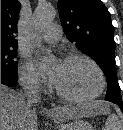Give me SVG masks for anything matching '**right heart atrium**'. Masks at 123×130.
Listing matches in <instances>:
<instances>
[{
	"instance_id": "obj_1",
	"label": "right heart atrium",
	"mask_w": 123,
	"mask_h": 130,
	"mask_svg": "<svg viewBox=\"0 0 123 130\" xmlns=\"http://www.w3.org/2000/svg\"><path fill=\"white\" fill-rule=\"evenodd\" d=\"M19 79L23 88L29 92L40 93L45 89V80L29 60H24L21 64Z\"/></svg>"
}]
</instances>
